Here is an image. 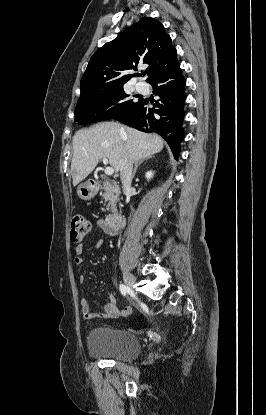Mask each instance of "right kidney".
<instances>
[{
    "instance_id": "ca27d5eb",
    "label": "right kidney",
    "mask_w": 266,
    "mask_h": 415,
    "mask_svg": "<svg viewBox=\"0 0 266 415\" xmlns=\"http://www.w3.org/2000/svg\"><path fill=\"white\" fill-rule=\"evenodd\" d=\"M146 179L147 180H149L150 178H152L153 177V172L152 171H148V172H146Z\"/></svg>"
}]
</instances>
